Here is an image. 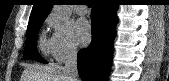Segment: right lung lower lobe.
Wrapping results in <instances>:
<instances>
[{
    "instance_id": "obj_1",
    "label": "right lung lower lobe",
    "mask_w": 169,
    "mask_h": 81,
    "mask_svg": "<svg viewBox=\"0 0 169 81\" xmlns=\"http://www.w3.org/2000/svg\"><path fill=\"white\" fill-rule=\"evenodd\" d=\"M117 4L98 1L91 12L92 41L79 51L78 72L83 81H106L112 62Z\"/></svg>"
}]
</instances>
